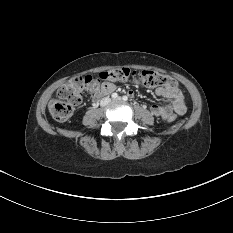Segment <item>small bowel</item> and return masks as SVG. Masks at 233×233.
I'll use <instances>...</instances> for the list:
<instances>
[{
  "mask_svg": "<svg viewBox=\"0 0 233 233\" xmlns=\"http://www.w3.org/2000/svg\"><path fill=\"white\" fill-rule=\"evenodd\" d=\"M115 85L102 91V93H109L115 89ZM156 94L160 97H163L167 100V104L164 106H160L157 104H153L150 107V111L153 115L162 118V119H169L174 118L175 115H183L187 110L186 102L181 94L178 91H171L166 88L160 87L156 89Z\"/></svg>",
  "mask_w": 233,
  "mask_h": 233,
  "instance_id": "small-bowel-1",
  "label": "small bowel"
}]
</instances>
